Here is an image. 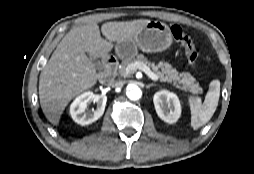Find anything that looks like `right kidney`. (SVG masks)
<instances>
[{
	"label": "right kidney",
	"instance_id": "right-kidney-1",
	"mask_svg": "<svg viewBox=\"0 0 254 174\" xmlns=\"http://www.w3.org/2000/svg\"><path fill=\"white\" fill-rule=\"evenodd\" d=\"M92 101L97 103L96 110L86 112L88 104ZM106 102V95H96L91 91L84 92L72 102L70 106V115L76 123L82 126L91 124L103 115Z\"/></svg>",
	"mask_w": 254,
	"mask_h": 174
}]
</instances>
